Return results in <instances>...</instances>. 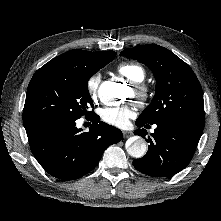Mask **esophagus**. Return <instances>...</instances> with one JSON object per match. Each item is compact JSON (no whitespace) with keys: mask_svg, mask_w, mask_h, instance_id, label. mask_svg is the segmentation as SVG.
Here are the masks:
<instances>
[{"mask_svg":"<svg viewBox=\"0 0 221 221\" xmlns=\"http://www.w3.org/2000/svg\"><path fill=\"white\" fill-rule=\"evenodd\" d=\"M132 135V132H130V131H123V136H124V138H128V137H130Z\"/></svg>","mask_w":221,"mask_h":221,"instance_id":"34e87169","label":"esophagus"}]
</instances>
